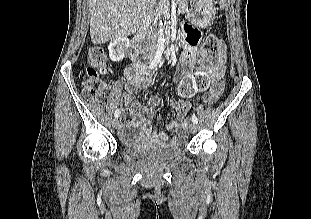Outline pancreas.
I'll list each match as a JSON object with an SVG mask.
<instances>
[{
  "instance_id": "obj_1",
  "label": "pancreas",
  "mask_w": 311,
  "mask_h": 219,
  "mask_svg": "<svg viewBox=\"0 0 311 219\" xmlns=\"http://www.w3.org/2000/svg\"><path fill=\"white\" fill-rule=\"evenodd\" d=\"M178 6H179V12L185 13L188 11V3L187 0H177ZM165 14H168L169 6L166 4L163 6Z\"/></svg>"
}]
</instances>
